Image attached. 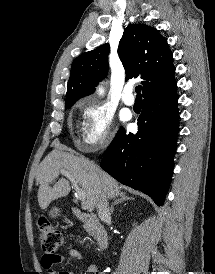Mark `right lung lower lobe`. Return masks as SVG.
<instances>
[{"instance_id":"obj_1","label":"right lung lower lobe","mask_w":215,"mask_h":274,"mask_svg":"<svg viewBox=\"0 0 215 274\" xmlns=\"http://www.w3.org/2000/svg\"><path fill=\"white\" fill-rule=\"evenodd\" d=\"M176 83L144 96L138 132L121 128L100 166L124 185L140 190L162 205L174 168L179 132Z\"/></svg>"}]
</instances>
